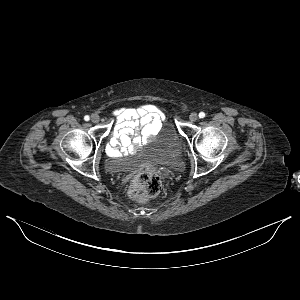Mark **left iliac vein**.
<instances>
[{"mask_svg": "<svg viewBox=\"0 0 300 300\" xmlns=\"http://www.w3.org/2000/svg\"><path fill=\"white\" fill-rule=\"evenodd\" d=\"M189 120H190L191 122H196V121L198 120V114L195 113V112L191 113V114L189 115Z\"/></svg>", "mask_w": 300, "mask_h": 300, "instance_id": "obj_1", "label": "left iliac vein"}]
</instances>
